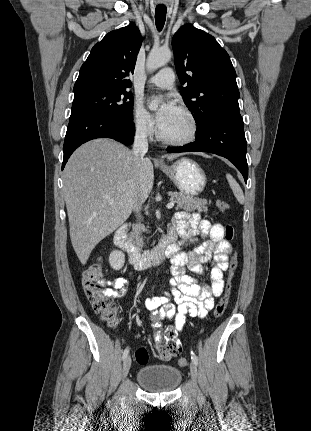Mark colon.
<instances>
[{"mask_svg":"<svg viewBox=\"0 0 311 431\" xmlns=\"http://www.w3.org/2000/svg\"><path fill=\"white\" fill-rule=\"evenodd\" d=\"M216 207L221 212L229 210V204L224 200H217ZM235 237V228L231 224L225 226V238L227 241H233ZM238 267L237 256L234 254L231 258L228 268V276L226 285L219 302L217 303L213 315L219 318L225 312L230 300L233 289V280ZM83 287L86 296L91 302L93 309L100 318L111 327L119 325L118 310L115 307L112 299L105 295L102 288V265L100 261L93 263L83 273ZM181 351V345L178 341L160 339L154 345L155 355L164 360H168L177 355ZM136 360L139 364H146L148 361V353L144 347H140L136 352ZM180 366H186L187 361L184 358L178 361Z\"/></svg>","mask_w":311,"mask_h":431,"instance_id":"1","label":"colon"}]
</instances>
